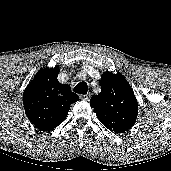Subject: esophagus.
<instances>
[{
  "instance_id": "obj_1",
  "label": "esophagus",
  "mask_w": 171,
  "mask_h": 171,
  "mask_svg": "<svg viewBox=\"0 0 171 171\" xmlns=\"http://www.w3.org/2000/svg\"><path fill=\"white\" fill-rule=\"evenodd\" d=\"M91 95L90 94H81L79 95V98L83 101H89L90 100Z\"/></svg>"
}]
</instances>
